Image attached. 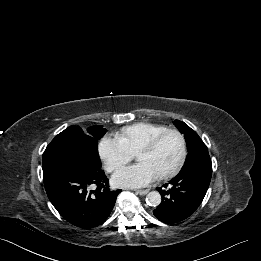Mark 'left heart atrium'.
Masks as SVG:
<instances>
[{"instance_id": "left-heart-atrium-1", "label": "left heart atrium", "mask_w": 261, "mask_h": 261, "mask_svg": "<svg viewBox=\"0 0 261 261\" xmlns=\"http://www.w3.org/2000/svg\"><path fill=\"white\" fill-rule=\"evenodd\" d=\"M157 176L143 163H136L116 173L112 178L117 187H144L152 183Z\"/></svg>"}]
</instances>
